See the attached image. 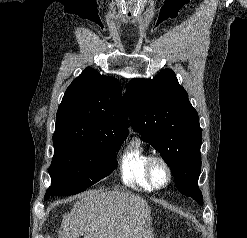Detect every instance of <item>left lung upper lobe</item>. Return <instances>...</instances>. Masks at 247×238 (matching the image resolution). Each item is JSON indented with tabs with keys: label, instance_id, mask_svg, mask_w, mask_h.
Listing matches in <instances>:
<instances>
[{
	"label": "left lung upper lobe",
	"instance_id": "obj_1",
	"mask_svg": "<svg viewBox=\"0 0 247 238\" xmlns=\"http://www.w3.org/2000/svg\"><path fill=\"white\" fill-rule=\"evenodd\" d=\"M124 105L134 130L157 149L171 167L179 191L200 205L202 130L188 94L171 69L153 79H134L124 95Z\"/></svg>",
	"mask_w": 247,
	"mask_h": 238
}]
</instances>
